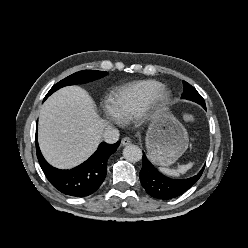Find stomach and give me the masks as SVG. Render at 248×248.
I'll list each match as a JSON object with an SVG mask.
<instances>
[{
  "label": "stomach",
  "mask_w": 248,
  "mask_h": 248,
  "mask_svg": "<svg viewBox=\"0 0 248 248\" xmlns=\"http://www.w3.org/2000/svg\"><path fill=\"white\" fill-rule=\"evenodd\" d=\"M145 141L150 159L168 167L187 150L189 137L185 127L172 114L161 111L153 118Z\"/></svg>",
  "instance_id": "1"
}]
</instances>
